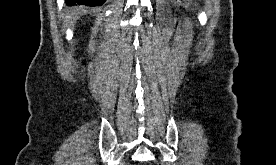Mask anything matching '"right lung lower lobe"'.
<instances>
[{"instance_id": "right-lung-lower-lobe-1", "label": "right lung lower lobe", "mask_w": 276, "mask_h": 165, "mask_svg": "<svg viewBox=\"0 0 276 165\" xmlns=\"http://www.w3.org/2000/svg\"><path fill=\"white\" fill-rule=\"evenodd\" d=\"M105 0H66L68 6L74 5H86V6H99L102 5Z\"/></svg>"}]
</instances>
